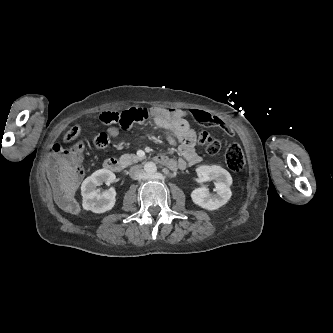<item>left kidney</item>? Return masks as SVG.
Segmentation results:
<instances>
[{"mask_svg":"<svg viewBox=\"0 0 333 333\" xmlns=\"http://www.w3.org/2000/svg\"><path fill=\"white\" fill-rule=\"evenodd\" d=\"M198 176L205 181H214L216 193L212 194L205 186L196 188L191 193L193 202L207 210H216L226 204L231 197L230 173L218 165H202L196 169Z\"/></svg>","mask_w":333,"mask_h":333,"instance_id":"left-kidney-1","label":"left kidney"}]
</instances>
